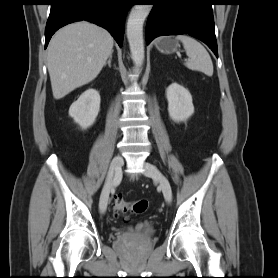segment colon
<instances>
[{
	"mask_svg": "<svg viewBox=\"0 0 278 278\" xmlns=\"http://www.w3.org/2000/svg\"><path fill=\"white\" fill-rule=\"evenodd\" d=\"M147 208L148 201L145 199L129 203L121 198H116L114 202V211L117 215H126L127 213L140 214L145 212Z\"/></svg>",
	"mask_w": 278,
	"mask_h": 278,
	"instance_id": "colon-1",
	"label": "colon"
}]
</instances>
